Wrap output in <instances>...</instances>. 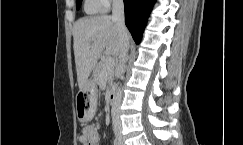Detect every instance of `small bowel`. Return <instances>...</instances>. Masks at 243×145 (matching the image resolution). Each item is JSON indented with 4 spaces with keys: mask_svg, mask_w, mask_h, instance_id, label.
Returning <instances> with one entry per match:
<instances>
[{
    "mask_svg": "<svg viewBox=\"0 0 243 145\" xmlns=\"http://www.w3.org/2000/svg\"><path fill=\"white\" fill-rule=\"evenodd\" d=\"M80 145H99V134L95 127L87 126L78 138Z\"/></svg>",
    "mask_w": 243,
    "mask_h": 145,
    "instance_id": "small-bowel-1",
    "label": "small bowel"
}]
</instances>
